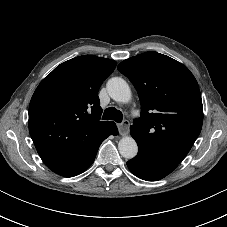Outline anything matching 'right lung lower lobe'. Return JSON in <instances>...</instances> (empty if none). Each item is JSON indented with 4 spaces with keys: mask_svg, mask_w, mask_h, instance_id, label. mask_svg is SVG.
Listing matches in <instances>:
<instances>
[{
    "mask_svg": "<svg viewBox=\"0 0 227 227\" xmlns=\"http://www.w3.org/2000/svg\"><path fill=\"white\" fill-rule=\"evenodd\" d=\"M111 134H117V128L116 126L114 125L107 137ZM106 137V138H107ZM105 138V139H106ZM99 148V147H98ZM98 148L85 160L83 161L78 167H76L74 170H72L71 172H69L68 174L64 175V177H73V176H76L78 174H81L82 172H84L86 169H88L90 167V165L93 163L95 157H96V154H97V151H98Z\"/></svg>",
    "mask_w": 227,
    "mask_h": 227,
    "instance_id": "obj_1",
    "label": "right lung lower lobe"
}]
</instances>
